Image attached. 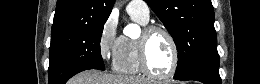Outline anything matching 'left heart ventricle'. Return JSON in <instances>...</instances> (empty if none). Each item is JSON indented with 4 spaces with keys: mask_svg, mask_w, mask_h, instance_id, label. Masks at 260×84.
Returning a JSON list of instances; mask_svg holds the SVG:
<instances>
[{
    "mask_svg": "<svg viewBox=\"0 0 260 84\" xmlns=\"http://www.w3.org/2000/svg\"><path fill=\"white\" fill-rule=\"evenodd\" d=\"M147 61L152 71L158 74H166L171 68V45L161 32L153 33L148 39Z\"/></svg>",
    "mask_w": 260,
    "mask_h": 84,
    "instance_id": "obj_1",
    "label": "left heart ventricle"
}]
</instances>
